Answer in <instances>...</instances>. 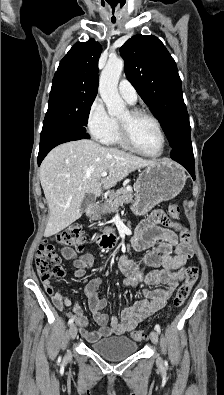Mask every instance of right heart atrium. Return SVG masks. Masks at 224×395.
Here are the masks:
<instances>
[{
	"label": "right heart atrium",
	"instance_id": "d8ad5b80",
	"mask_svg": "<svg viewBox=\"0 0 224 395\" xmlns=\"http://www.w3.org/2000/svg\"><path fill=\"white\" fill-rule=\"evenodd\" d=\"M87 128L96 140H102L112 131L114 118L111 117L101 98L96 97L90 104L86 118Z\"/></svg>",
	"mask_w": 224,
	"mask_h": 395
}]
</instances>
